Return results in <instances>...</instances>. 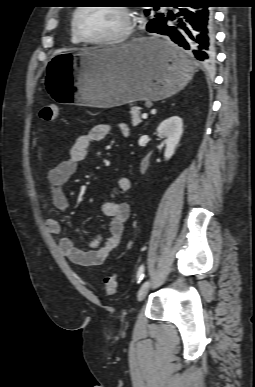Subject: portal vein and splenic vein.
Listing matches in <instances>:
<instances>
[{
	"mask_svg": "<svg viewBox=\"0 0 255 387\" xmlns=\"http://www.w3.org/2000/svg\"><path fill=\"white\" fill-rule=\"evenodd\" d=\"M142 118H143V119H147V118H148L147 113H143V114H142Z\"/></svg>",
	"mask_w": 255,
	"mask_h": 387,
	"instance_id": "obj_1",
	"label": "portal vein and splenic vein"
}]
</instances>
